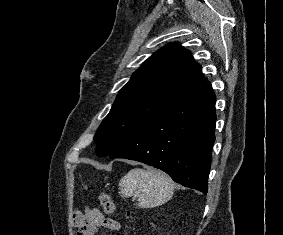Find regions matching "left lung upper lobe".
<instances>
[{
    "instance_id": "left-lung-upper-lobe-1",
    "label": "left lung upper lobe",
    "mask_w": 283,
    "mask_h": 235,
    "mask_svg": "<svg viewBox=\"0 0 283 235\" xmlns=\"http://www.w3.org/2000/svg\"><path fill=\"white\" fill-rule=\"evenodd\" d=\"M190 51L166 45L148 58L119 91L94 141L109 156L156 117L206 83Z\"/></svg>"
}]
</instances>
